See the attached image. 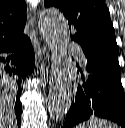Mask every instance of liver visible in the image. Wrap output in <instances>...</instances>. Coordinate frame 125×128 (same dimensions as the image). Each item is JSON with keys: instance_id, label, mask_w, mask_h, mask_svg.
Listing matches in <instances>:
<instances>
[{"instance_id": "1", "label": "liver", "mask_w": 125, "mask_h": 128, "mask_svg": "<svg viewBox=\"0 0 125 128\" xmlns=\"http://www.w3.org/2000/svg\"><path fill=\"white\" fill-rule=\"evenodd\" d=\"M14 88L0 81V128H16L14 113Z\"/></svg>"}]
</instances>
